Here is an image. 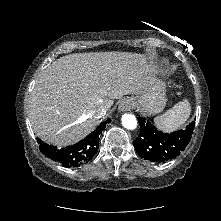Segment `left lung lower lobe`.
Instances as JSON below:
<instances>
[{"label": "left lung lower lobe", "instance_id": "1", "mask_svg": "<svg viewBox=\"0 0 221 221\" xmlns=\"http://www.w3.org/2000/svg\"><path fill=\"white\" fill-rule=\"evenodd\" d=\"M138 122L140 134L134 147L142 158L154 162H165L179 155L190 142L195 127V122H192L185 130L168 134L158 131L145 118L139 117Z\"/></svg>", "mask_w": 221, "mask_h": 221}]
</instances>
